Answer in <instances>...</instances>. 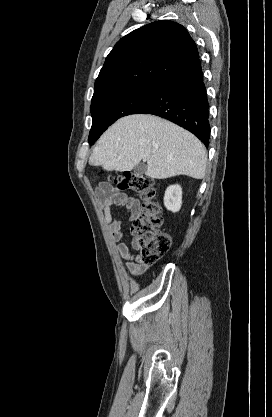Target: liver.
Wrapping results in <instances>:
<instances>
[{
    "label": "liver",
    "mask_w": 272,
    "mask_h": 417,
    "mask_svg": "<svg viewBox=\"0 0 272 417\" xmlns=\"http://www.w3.org/2000/svg\"><path fill=\"white\" fill-rule=\"evenodd\" d=\"M147 161L146 176L166 179L187 175L205 176L207 153L190 132L153 115H129L103 134L89 159L106 171H130Z\"/></svg>",
    "instance_id": "liver-1"
}]
</instances>
